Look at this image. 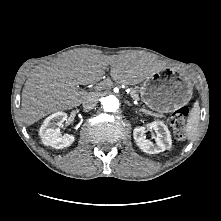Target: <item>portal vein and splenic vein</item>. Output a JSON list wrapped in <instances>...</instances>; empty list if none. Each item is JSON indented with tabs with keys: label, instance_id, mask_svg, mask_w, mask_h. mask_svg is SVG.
Returning <instances> with one entry per match:
<instances>
[{
	"label": "portal vein and splenic vein",
	"instance_id": "obj_1",
	"mask_svg": "<svg viewBox=\"0 0 221 221\" xmlns=\"http://www.w3.org/2000/svg\"><path fill=\"white\" fill-rule=\"evenodd\" d=\"M108 85H109L108 83L102 82V83H100V84H98V85L96 86V89H105ZM141 111H142L143 113L148 114V115H153L150 111H148V110H146V109H141Z\"/></svg>",
	"mask_w": 221,
	"mask_h": 221
}]
</instances>
